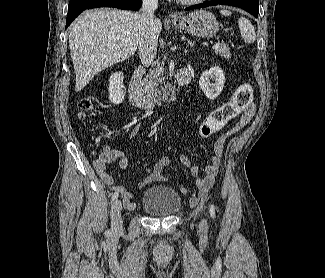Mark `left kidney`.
I'll use <instances>...</instances> for the list:
<instances>
[{
    "label": "left kidney",
    "mask_w": 325,
    "mask_h": 278,
    "mask_svg": "<svg viewBox=\"0 0 325 278\" xmlns=\"http://www.w3.org/2000/svg\"><path fill=\"white\" fill-rule=\"evenodd\" d=\"M210 79L215 82L211 83ZM224 83L225 75L220 67H214L209 71L203 72L199 80L200 89L210 100H214L222 92Z\"/></svg>",
    "instance_id": "obj_1"
}]
</instances>
